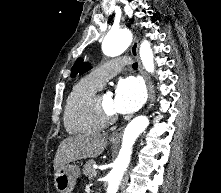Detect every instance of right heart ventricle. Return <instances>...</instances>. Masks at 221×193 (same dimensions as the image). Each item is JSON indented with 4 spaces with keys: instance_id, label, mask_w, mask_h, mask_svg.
I'll return each mask as SVG.
<instances>
[{
    "instance_id": "e07e8e85",
    "label": "right heart ventricle",
    "mask_w": 221,
    "mask_h": 193,
    "mask_svg": "<svg viewBox=\"0 0 221 193\" xmlns=\"http://www.w3.org/2000/svg\"><path fill=\"white\" fill-rule=\"evenodd\" d=\"M100 88L90 76L79 79L72 86L64 106V125L69 134H90L104 128L105 124L91 107V99Z\"/></svg>"
}]
</instances>
